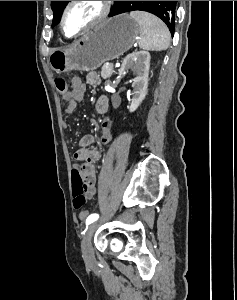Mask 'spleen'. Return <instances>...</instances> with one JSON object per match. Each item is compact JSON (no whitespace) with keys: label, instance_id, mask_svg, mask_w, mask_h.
Segmentation results:
<instances>
[{"label":"spleen","instance_id":"spleen-1","mask_svg":"<svg viewBox=\"0 0 237 300\" xmlns=\"http://www.w3.org/2000/svg\"><path fill=\"white\" fill-rule=\"evenodd\" d=\"M131 19L140 27L141 39L138 41L143 51H166L170 43V33L163 21L144 11H132Z\"/></svg>","mask_w":237,"mask_h":300}]
</instances>
